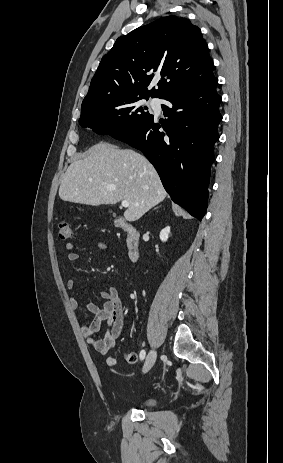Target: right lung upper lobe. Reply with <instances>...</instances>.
I'll use <instances>...</instances> for the list:
<instances>
[{
	"mask_svg": "<svg viewBox=\"0 0 283 463\" xmlns=\"http://www.w3.org/2000/svg\"><path fill=\"white\" fill-rule=\"evenodd\" d=\"M213 61L201 30L167 16L119 37L102 58L82 105L113 95L162 98L183 86L209 81ZM155 75L158 89L148 90Z\"/></svg>",
	"mask_w": 283,
	"mask_h": 463,
	"instance_id": "1",
	"label": "right lung upper lobe"
}]
</instances>
